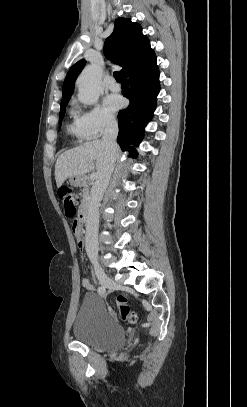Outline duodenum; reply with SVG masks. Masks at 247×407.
<instances>
[{
    "label": "duodenum",
    "instance_id": "duodenum-1",
    "mask_svg": "<svg viewBox=\"0 0 247 407\" xmlns=\"http://www.w3.org/2000/svg\"><path fill=\"white\" fill-rule=\"evenodd\" d=\"M89 211L87 206H82L78 214V222H83L84 225L88 222ZM84 238V237H83Z\"/></svg>",
    "mask_w": 247,
    "mask_h": 407
}]
</instances>
